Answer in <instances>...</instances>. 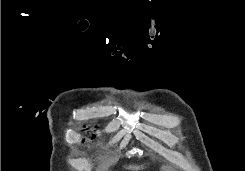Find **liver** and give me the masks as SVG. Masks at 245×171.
<instances>
[{
	"instance_id": "liver-1",
	"label": "liver",
	"mask_w": 245,
	"mask_h": 171,
	"mask_svg": "<svg viewBox=\"0 0 245 171\" xmlns=\"http://www.w3.org/2000/svg\"><path fill=\"white\" fill-rule=\"evenodd\" d=\"M143 166H136V165H130L127 167V169L131 170V171H139L140 169H143Z\"/></svg>"
}]
</instances>
